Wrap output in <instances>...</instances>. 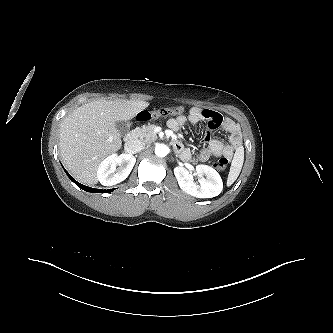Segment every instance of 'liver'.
<instances>
[{"label": "liver", "instance_id": "6515ba94", "mask_svg": "<svg viewBox=\"0 0 333 333\" xmlns=\"http://www.w3.org/2000/svg\"><path fill=\"white\" fill-rule=\"evenodd\" d=\"M148 106L142 100L99 99L65 117L60 125V155L73 177L84 184H96L101 161L122 146L116 121L130 120Z\"/></svg>", "mask_w": 333, "mask_h": 333}]
</instances>
